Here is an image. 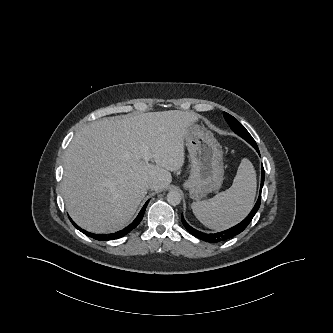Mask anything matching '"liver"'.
Here are the masks:
<instances>
[{
  "mask_svg": "<svg viewBox=\"0 0 333 333\" xmlns=\"http://www.w3.org/2000/svg\"><path fill=\"white\" fill-rule=\"evenodd\" d=\"M198 120L179 110L96 120L77 132L64 158L62 195L72 219L93 233L130 221L147 194L166 188L184 164V139ZM151 154L148 163L143 151Z\"/></svg>",
  "mask_w": 333,
  "mask_h": 333,
  "instance_id": "liver-1",
  "label": "liver"
}]
</instances>
